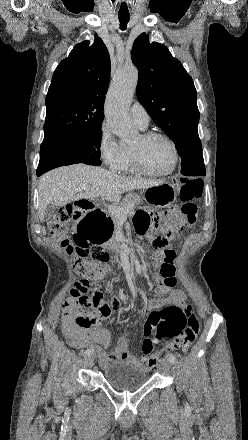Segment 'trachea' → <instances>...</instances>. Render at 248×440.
<instances>
[{"label": "trachea", "instance_id": "obj_1", "mask_svg": "<svg viewBox=\"0 0 248 440\" xmlns=\"http://www.w3.org/2000/svg\"><path fill=\"white\" fill-rule=\"evenodd\" d=\"M119 21H120V28L121 30H125L127 23L130 20V16L129 15H118Z\"/></svg>", "mask_w": 248, "mask_h": 440}]
</instances>
